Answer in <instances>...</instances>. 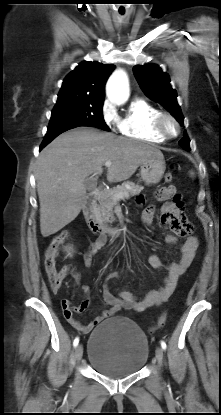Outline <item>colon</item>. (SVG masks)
Here are the masks:
<instances>
[{"instance_id":"obj_1","label":"colon","mask_w":221,"mask_h":415,"mask_svg":"<svg viewBox=\"0 0 221 415\" xmlns=\"http://www.w3.org/2000/svg\"><path fill=\"white\" fill-rule=\"evenodd\" d=\"M173 179L172 173L168 172L164 176V180L166 183H170ZM68 237V231L63 230L56 234L50 241L46 252H45V261L44 267L45 272L49 281L50 288L57 292L64 279L70 273V268L68 266H64L61 269H58L56 266V256L59 247L65 242ZM166 322V313L162 314L154 326L151 327V331H155L165 325Z\"/></svg>"}]
</instances>
